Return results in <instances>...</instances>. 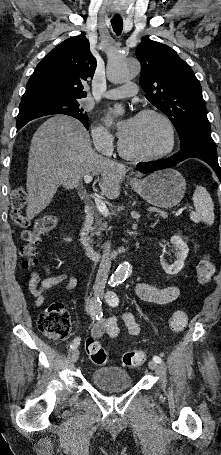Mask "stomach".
Segmentation results:
<instances>
[{"mask_svg": "<svg viewBox=\"0 0 221 455\" xmlns=\"http://www.w3.org/2000/svg\"><path fill=\"white\" fill-rule=\"evenodd\" d=\"M132 187L149 204L160 208H172L184 197L186 182L177 170L165 169L135 180Z\"/></svg>", "mask_w": 221, "mask_h": 455, "instance_id": "obj_1", "label": "stomach"}]
</instances>
